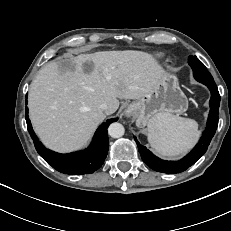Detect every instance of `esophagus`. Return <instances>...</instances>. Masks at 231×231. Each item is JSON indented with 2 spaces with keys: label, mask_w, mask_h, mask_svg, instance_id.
<instances>
[{
  "label": "esophagus",
  "mask_w": 231,
  "mask_h": 231,
  "mask_svg": "<svg viewBox=\"0 0 231 231\" xmlns=\"http://www.w3.org/2000/svg\"><path fill=\"white\" fill-rule=\"evenodd\" d=\"M134 111H135V109L133 108V106L127 107L125 110V116L131 117L134 114Z\"/></svg>",
  "instance_id": "34e87169"
}]
</instances>
